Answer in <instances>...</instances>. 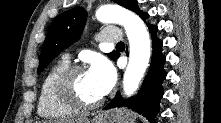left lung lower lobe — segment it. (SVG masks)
<instances>
[{"label":"left lung lower lobe","mask_w":221,"mask_h":123,"mask_svg":"<svg viewBox=\"0 0 221 123\" xmlns=\"http://www.w3.org/2000/svg\"><path fill=\"white\" fill-rule=\"evenodd\" d=\"M137 14L145 20L148 17L147 13L138 11ZM152 35V61L141 89L136 97L125 100L121 97L120 92H117L113 100L104 109L115 107H127L139 114L144 115L147 119L154 123L155 116L159 110L160 99L163 96L162 83L166 77L164 70L165 56L161 53L162 41L156 37L157 26L148 24ZM119 57L116 56L115 60Z\"/></svg>","instance_id":"obj_1"}]
</instances>
